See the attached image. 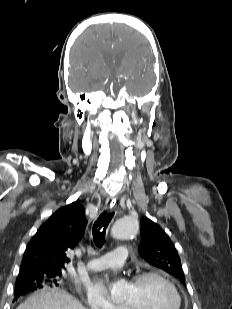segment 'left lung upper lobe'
I'll use <instances>...</instances> for the list:
<instances>
[{
  "label": "left lung upper lobe",
  "mask_w": 232,
  "mask_h": 309,
  "mask_svg": "<svg viewBox=\"0 0 232 309\" xmlns=\"http://www.w3.org/2000/svg\"><path fill=\"white\" fill-rule=\"evenodd\" d=\"M140 224L142 238L138 252L141 257L150 265L164 270L184 283L181 260L168 235L147 217L142 218Z\"/></svg>",
  "instance_id": "left-lung-upper-lobe-1"
}]
</instances>
